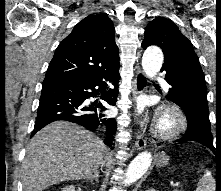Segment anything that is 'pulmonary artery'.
<instances>
[{
  "mask_svg": "<svg viewBox=\"0 0 221 191\" xmlns=\"http://www.w3.org/2000/svg\"><path fill=\"white\" fill-rule=\"evenodd\" d=\"M161 82H162V85H163L165 88H168V84H167L164 80H162Z\"/></svg>",
  "mask_w": 221,
  "mask_h": 191,
  "instance_id": "e3ab8cb5",
  "label": "pulmonary artery"
}]
</instances>
